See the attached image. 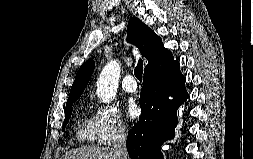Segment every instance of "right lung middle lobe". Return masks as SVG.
<instances>
[{
  "instance_id": "dd1d6c3e",
  "label": "right lung middle lobe",
  "mask_w": 253,
  "mask_h": 159,
  "mask_svg": "<svg viewBox=\"0 0 253 159\" xmlns=\"http://www.w3.org/2000/svg\"><path fill=\"white\" fill-rule=\"evenodd\" d=\"M77 99H78V98L69 100V101H67V103H66L65 120H64L63 129H62L63 131H64L65 126L67 125V123H68V121H69V119H70V117H71V114H72V105H73V103L76 102Z\"/></svg>"
}]
</instances>
